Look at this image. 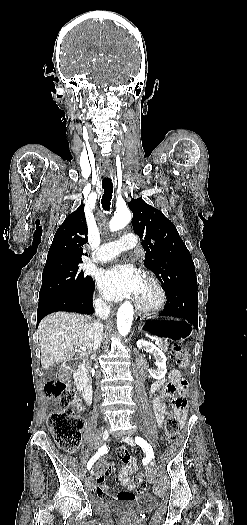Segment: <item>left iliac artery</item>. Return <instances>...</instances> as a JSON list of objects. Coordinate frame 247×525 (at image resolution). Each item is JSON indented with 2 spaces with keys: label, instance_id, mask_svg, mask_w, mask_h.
<instances>
[{
  "label": "left iliac artery",
  "instance_id": "obj_1",
  "mask_svg": "<svg viewBox=\"0 0 247 525\" xmlns=\"http://www.w3.org/2000/svg\"><path fill=\"white\" fill-rule=\"evenodd\" d=\"M135 442L143 449L148 458H154L153 448L146 440L141 437H136Z\"/></svg>",
  "mask_w": 247,
  "mask_h": 525
}]
</instances>
